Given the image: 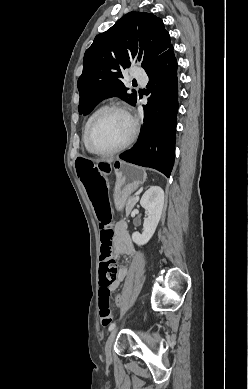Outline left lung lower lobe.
<instances>
[{
  "mask_svg": "<svg viewBox=\"0 0 248 389\" xmlns=\"http://www.w3.org/2000/svg\"><path fill=\"white\" fill-rule=\"evenodd\" d=\"M147 105L144 123L134 147L120 158L143 167L154 168L167 177L175 158L176 115L178 111L177 60L171 45L146 71Z\"/></svg>",
  "mask_w": 248,
  "mask_h": 389,
  "instance_id": "1",
  "label": "left lung lower lobe"
}]
</instances>
